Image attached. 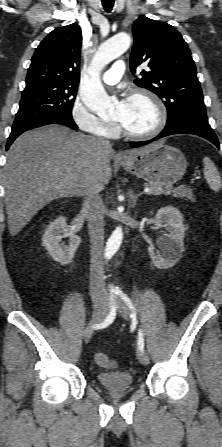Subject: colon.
<instances>
[{
	"instance_id": "obj_1",
	"label": "colon",
	"mask_w": 222,
	"mask_h": 447,
	"mask_svg": "<svg viewBox=\"0 0 222 447\" xmlns=\"http://www.w3.org/2000/svg\"><path fill=\"white\" fill-rule=\"evenodd\" d=\"M95 362L99 366L107 367V368H113V367H115L117 365L116 361H114L113 359L109 358L108 356H106L103 353H97L95 355Z\"/></svg>"
}]
</instances>
